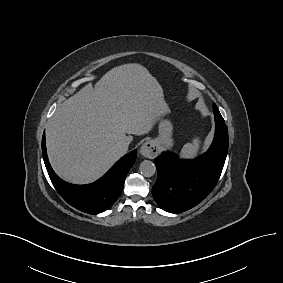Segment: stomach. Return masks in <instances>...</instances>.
<instances>
[{
  "label": "stomach",
  "instance_id": "1",
  "mask_svg": "<svg viewBox=\"0 0 283 283\" xmlns=\"http://www.w3.org/2000/svg\"><path fill=\"white\" fill-rule=\"evenodd\" d=\"M173 125L169 120H162L159 124V136L153 143L159 148H170L173 146Z\"/></svg>",
  "mask_w": 283,
  "mask_h": 283
}]
</instances>
